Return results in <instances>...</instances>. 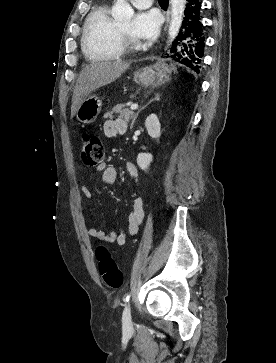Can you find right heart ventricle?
Segmentation results:
<instances>
[{"instance_id": "e07e8e85", "label": "right heart ventricle", "mask_w": 276, "mask_h": 363, "mask_svg": "<svg viewBox=\"0 0 276 363\" xmlns=\"http://www.w3.org/2000/svg\"><path fill=\"white\" fill-rule=\"evenodd\" d=\"M117 23L107 5L94 9L86 19L81 44L86 57L93 61L113 60L123 53L116 39Z\"/></svg>"}]
</instances>
